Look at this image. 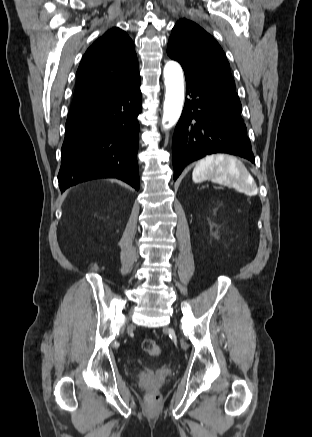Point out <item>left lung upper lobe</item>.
I'll list each match as a JSON object with an SVG mask.
<instances>
[{
    "mask_svg": "<svg viewBox=\"0 0 312 437\" xmlns=\"http://www.w3.org/2000/svg\"><path fill=\"white\" fill-rule=\"evenodd\" d=\"M167 54L182 65L185 76L219 92L241 108L222 48L199 25L179 20L169 38Z\"/></svg>",
    "mask_w": 312,
    "mask_h": 437,
    "instance_id": "obj_1",
    "label": "left lung upper lobe"
}]
</instances>
